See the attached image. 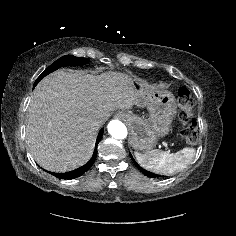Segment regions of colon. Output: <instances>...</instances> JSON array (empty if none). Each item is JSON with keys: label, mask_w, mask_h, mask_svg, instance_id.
<instances>
[{"label": "colon", "mask_w": 236, "mask_h": 236, "mask_svg": "<svg viewBox=\"0 0 236 236\" xmlns=\"http://www.w3.org/2000/svg\"><path fill=\"white\" fill-rule=\"evenodd\" d=\"M180 110V135L189 145H196L199 141L198 130L195 123L194 101L187 88H180L177 92Z\"/></svg>", "instance_id": "colon-1"}]
</instances>
